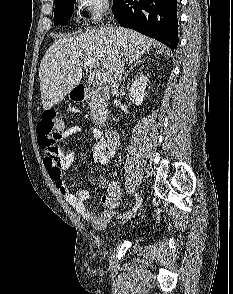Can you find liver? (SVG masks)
I'll list each match as a JSON object with an SVG mask.
<instances>
[{
    "instance_id": "6515ba94",
    "label": "liver",
    "mask_w": 233,
    "mask_h": 294,
    "mask_svg": "<svg viewBox=\"0 0 233 294\" xmlns=\"http://www.w3.org/2000/svg\"><path fill=\"white\" fill-rule=\"evenodd\" d=\"M153 40L127 28L101 27L74 37H61L47 49L39 68L44 110H49L82 79L85 59L99 61L109 83L119 60L133 63L152 47Z\"/></svg>"
}]
</instances>
